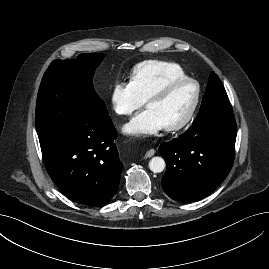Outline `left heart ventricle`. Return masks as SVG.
Returning a JSON list of instances; mask_svg holds the SVG:
<instances>
[{
  "instance_id": "b2bd125f",
  "label": "left heart ventricle",
  "mask_w": 269,
  "mask_h": 269,
  "mask_svg": "<svg viewBox=\"0 0 269 269\" xmlns=\"http://www.w3.org/2000/svg\"><path fill=\"white\" fill-rule=\"evenodd\" d=\"M195 96V86L184 84L174 88L165 98L149 103L147 110L153 111L164 127L180 122L189 111Z\"/></svg>"
}]
</instances>
